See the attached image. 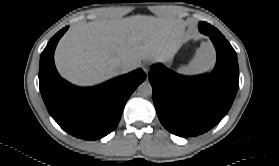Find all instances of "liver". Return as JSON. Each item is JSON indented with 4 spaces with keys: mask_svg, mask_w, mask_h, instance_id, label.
Listing matches in <instances>:
<instances>
[{
    "mask_svg": "<svg viewBox=\"0 0 279 166\" xmlns=\"http://www.w3.org/2000/svg\"><path fill=\"white\" fill-rule=\"evenodd\" d=\"M181 21L172 17H110L72 27L60 40L55 62L68 81L91 86L121 74L125 63L165 61L181 46Z\"/></svg>",
    "mask_w": 279,
    "mask_h": 166,
    "instance_id": "1",
    "label": "liver"
}]
</instances>
